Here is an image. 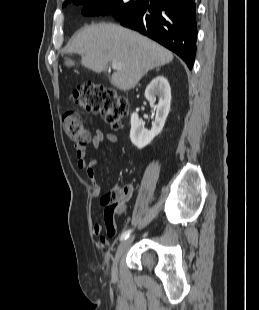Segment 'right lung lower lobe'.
Here are the masks:
<instances>
[{"mask_svg": "<svg viewBox=\"0 0 259 310\" xmlns=\"http://www.w3.org/2000/svg\"><path fill=\"white\" fill-rule=\"evenodd\" d=\"M195 12V0L139 1L119 21L175 52L192 69L197 36Z\"/></svg>", "mask_w": 259, "mask_h": 310, "instance_id": "right-lung-lower-lobe-1", "label": "right lung lower lobe"}]
</instances>
